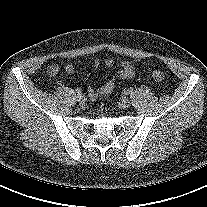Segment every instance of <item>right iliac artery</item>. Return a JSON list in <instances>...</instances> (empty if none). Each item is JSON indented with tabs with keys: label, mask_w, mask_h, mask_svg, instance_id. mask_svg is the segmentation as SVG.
Masks as SVG:
<instances>
[{
	"label": "right iliac artery",
	"mask_w": 207,
	"mask_h": 207,
	"mask_svg": "<svg viewBox=\"0 0 207 207\" xmlns=\"http://www.w3.org/2000/svg\"><path fill=\"white\" fill-rule=\"evenodd\" d=\"M76 93H77L78 95H81V94H82V90H81L80 88H77V89H76Z\"/></svg>",
	"instance_id": "82829eb1"
}]
</instances>
